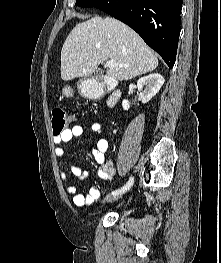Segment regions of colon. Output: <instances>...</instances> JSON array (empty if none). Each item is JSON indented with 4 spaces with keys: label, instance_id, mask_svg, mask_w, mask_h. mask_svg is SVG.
<instances>
[{
    "label": "colon",
    "instance_id": "5ec220e1",
    "mask_svg": "<svg viewBox=\"0 0 221 263\" xmlns=\"http://www.w3.org/2000/svg\"><path fill=\"white\" fill-rule=\"evenodd\" d=\"M75 118V114H68L63 109H54L52 112V130L54 136L61 135L69 123Z\"/></svg>",
    "mask_w": 221,
    "mask_h": 263
}]
</instances>
